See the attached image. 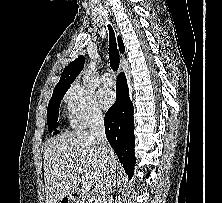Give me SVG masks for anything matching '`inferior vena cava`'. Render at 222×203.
Returning a JSON list of instances; mask_svg holds the SVG:
<instances>
[{"label": "inferior vena cava", "instance_id": "inferior-vena-cava-1", "mask_svg": "<svg viewBox=\"0 0 222 203\" xmlns=\"http://www.w3.org/2000/svg\"><path fill=\"white\" fill-rule=\"evenodd\" d=\"M89 136L97 141L98 150L106 164L104 174L95 185L93 200L94 203H107L109 198L108 194L114 184L116 163L113 160V151L105 135L104 117L101 112H96L93 114Z\"/></svg>", "mask_w": 222, "mask_h": 203}]
</instances>
